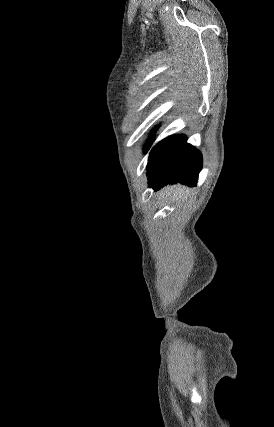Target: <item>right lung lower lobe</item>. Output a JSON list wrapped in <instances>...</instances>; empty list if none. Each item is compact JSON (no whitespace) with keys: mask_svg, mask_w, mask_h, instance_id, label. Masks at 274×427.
Here are the masks:
<instances>
[{"mask_svg":"<svg viewBox=\"0 0 274 427\" xmlns=\"http://www.w3.org/2000/svg\"><path fill=\"white\" fill-rule=\"evenodd\" d=\"M202 167V157L183 135L170 136L159 142L151 151L147 172L150 187L184 183L196 185Z\"/></svg>","mask_w":274,"mask_h":427,"instance_id":"obj_1","label":"right lung lower lobe"}]
</instances>
